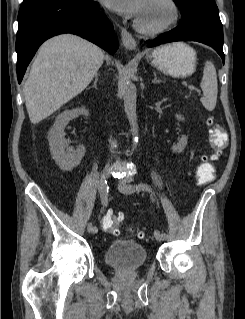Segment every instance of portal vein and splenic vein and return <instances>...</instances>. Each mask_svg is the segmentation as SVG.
I'll use <instances>...</instances> for the list:
<instances>
[{"instance_id":"1","label":"portal vein and splenic vein","mask_w":245,"mask_h":319,"mask_svg":"<svg viewBox=\"0 0 245 319\" xmlns=\"http://www.w3.org/2000/svg\"><path fill=\"white\" fill-rule=\"evenodd\" d=\"M188 88H189L190 90H194V89H195L194 86H189Z\"/></svg>"}]
</instances>
